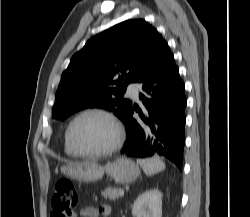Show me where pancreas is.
Masks as SVG:
<instances>
[{
  "instance_id": "pancreas-1",
  "label": "pancreas",
  "mask_w": 250,
  "mask_h": 217,
  "mask_svg": "<svg viewBox=\"0 0 250 217\" xmlns=\"http://www.w3.org/2000/svg\"><path fill=\"white\" fill-rule=\"evenodd\" d=\"M121 190H122L121 188L108 187L102 192V195L104 198H108L110 200H116L119 197V192Z\"/></svg>"
}]
</instances>
